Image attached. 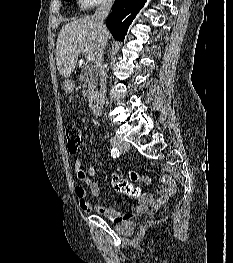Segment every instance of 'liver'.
<instances>
[{
    "mask_svg": "<svg viewBox=\"0 0 233 263\" xmlns=\"http://www.w3.org/2000/svg\"><path fill=\"white\" fill-rule=\"evenodd\" d=\"M97 43L98 30L93 16H86L64 25L59 32L56 46V64L60 74L69 77L80 54L94 55Z\"/></svg>",
    "mask_w": 233,
    "mask_h": 263,
    "instance_id": "liver-1",
    "label": "liver"
}]
</instances>
